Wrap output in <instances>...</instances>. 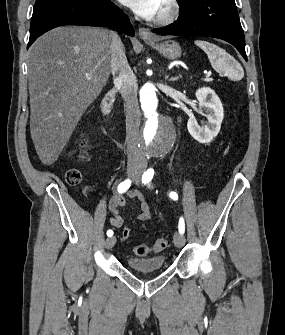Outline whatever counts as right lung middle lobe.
<instances>
[{
	"instance_id": "dd1d6c3e",
	"label": "right lung middle lobe",
	"mask_w": 285,
	"mask_h": 335,
	"mask_svg": "<svg viewBox=\"0 0 285 335\" xmlns=\"http://www.w3.org/2000/svg\"><path fill=\"white\" fill-rule=\"evenodd\" d=\"M41 1H44V0H36V3H39V2H41Z\"/></svg>"
}]
</instances>
